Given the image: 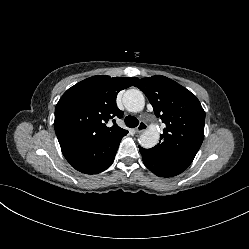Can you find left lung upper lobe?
Wrapping results in <instances>:
<instances>
[{"label":"left lung upper lobe","instance_id":"1","mask_svg":"<svg viewBox=\"0 0 249 249\" xmlns=\"http://www.w3.org/2000/svg\"><path fill=\"white\" fill-rule=\"evenodd\" d=\"M134 86L148 97L155 115L166 125L160 143L148 150L192 162L203 142L205 123V112L196 96L161 75L137 80Z\"/></svg>","mask_w":249,"mask_h":249}]
</instances>
